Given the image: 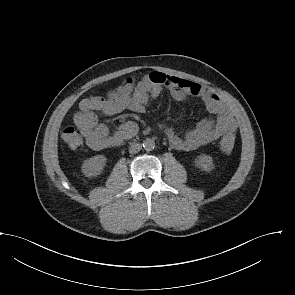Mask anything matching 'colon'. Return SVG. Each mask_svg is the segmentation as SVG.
I'll use <instances>...</instances> for the list:
<instances>
[{
    "label": "colon",
    "instance_id": "colon-1",
    "mask_svg": "<svg viewBox=\"0 0 295 295\" xmlns=\"http://www.w3.org/2000/svg\"><path fill=\"white\" fill-rule=\"evenodd\" d=\"M62 139L68 147L76 149L82 144V139L74 127H66L62 131ZM235 145L234 133H226L220 141V148L224 153H230Z\"/></svg>",
    "mask_w": 295,
    "mask_h": 295
}]
</instances>
